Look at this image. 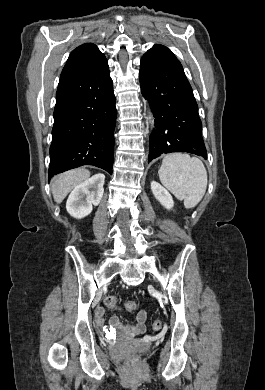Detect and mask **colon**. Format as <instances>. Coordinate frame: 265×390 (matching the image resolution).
<instances>
[{
  "mask_svg": "<svg viewBox=\"0 0 265 390\" xmlns=\"http://www.w3.org/2000/svg\"><path fill=\"white\" fill-rule=\"evenodd\" d=\"M118 298L116 296H109L105 299V304L111 309H116L118 307ZM126 309L130 312H133L137 309V303L135 301H128L126 303ZM162 327V322L160 320H155L152 324V328L156 331L160 330Z\"/></svg>",
  "mask_w": 265,
  "mask_h": 390,
  "instance_id": "5ec220e1",
  "label": "colon"
}]
</instances>
